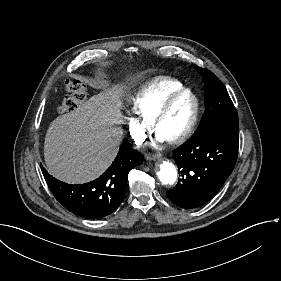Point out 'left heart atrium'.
I'll return each mask as SVG.
<instances>
[{
    "label": "left heart atrium",
    "mask_w": 281,
    "mask_h": 281,
    "mask_svg": "<svg viewBox=\"0 0 281 281\" xmlns=\"http://www.w3.org/2000/svg\"><path fill=\"white\" fill-rule=\"evenodd\" d=\"M165 140L163 138H161L160 136L157 135V142L161 143L164 142Z\"/></svg>",
    "instance_id": "obj_1"
}]
</instances>
